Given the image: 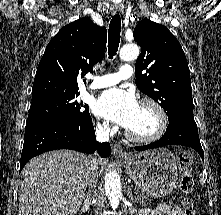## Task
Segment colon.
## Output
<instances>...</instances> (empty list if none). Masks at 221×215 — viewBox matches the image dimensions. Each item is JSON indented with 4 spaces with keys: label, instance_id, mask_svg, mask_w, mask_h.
I'll return each instance as SVG.
<instances>
[{
    "label": "colon",
    "instance_id": "obj_1",
    "mask_svg": "<svg viewBox=\"0 0 221 215\" xmlns=\"http://www.w3.org/2000/svg\"><path fill=\"white\" fill-rule=\"evenodd\" d=\"M179 167L182 173L180 187L181 190L189 194L194 189V179L192 175V155L190 153H182L179 156ZM185 215H194V204L190 197H186L182 201Z\"/></svg>",
    "mask_w": 221,
    "mask_h": 215
}]
</instances>
